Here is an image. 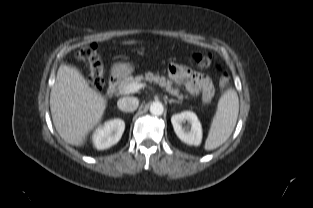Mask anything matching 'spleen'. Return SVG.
<instances>
[{
    "mask_svg": "<svg viewBox=\"0 0 313 208\" xmlns=\"http://www.w3.org/2000/svg\"><path fill=\"white\" fill-rule=\"evenodd\" d=\"M239 113V99L235 90H227L219 99L218 108L213 118L205 150H213L227 141L232 134Z\"/></svg>",
    "mask_w": 313,
    "mask_h": 208,
    "instance_id": "1",
    "label": "spleen"
}]
</instances>
